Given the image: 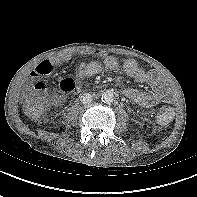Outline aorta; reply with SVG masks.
I'll return each instance as SVG.
<instances>
[{"instance_id":"762f6f07","label":"aorta","mask_w":197,"mask_h":197,"mask_svg":"<svg viewBox=\"0 0 197 197\" xmlns=\"http://www.w3.org/2000/svg\"><path fill=\"white\" fill-rule=\"evenodd\" d=\"M101 100L106 103L109 104L111 102H113L114 100V94L111 90H106L102 93V97Z\"/></svg>"}]
</instances>
